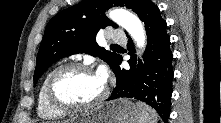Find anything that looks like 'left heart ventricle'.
<instances>
[{
	"mask_svg": "<svg viewBox=\"0 0 221 123\" xmlns=\"http://www.w3.org/2000/svg\"><path fill=\"white\" fill-rule=\"evenodd\" d=\"M104 83L97 73L69 70L62 73L55 84L56 94L69 103H90L97 99Z\"/></svg>",
	"mask_w": 221,
	"mask_h": 123,
	"instance_id": "left-heart-ventricle-1",
	"label": "left heart ventricle"
}]
</instances>
